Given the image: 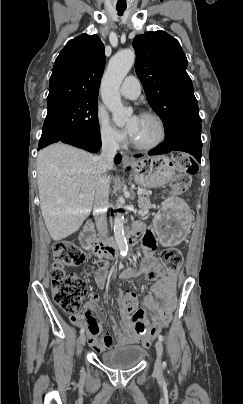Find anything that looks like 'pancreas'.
<instances>
[{
	"mask_svg": "<svg viewBox=\"0 0 243 404\" xmlns=\"http://www.w3.org/2000/svg\"><path fill=\"white\" fill-rule=\"evenodd\" d=\"M149 194L150 193H143L142 196L138 198L139 216H147L148 210L151 208Z\"/></svg>",
	"mask_w": 243,
	"mask_h": 404,
	"instance_id": "pancreas-1",
	"label": "pancreas"
}]
</instances>
